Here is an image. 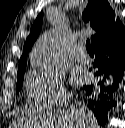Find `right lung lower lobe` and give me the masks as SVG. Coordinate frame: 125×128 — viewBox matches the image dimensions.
I'll list each match as a JSON object with an SVG mask.
<instances>
[{
	"label": "right lung lower lobe",
	"mask_w": 125,
	"mask_h": 128,
	"mask_svg": "<svg viewBox=\"0 0 125 128\" xmlns=\"http://www.w3.org/2000/svg\"><path fill=\"white\" fill-rule=\"evenodd\" d=\"M92 46L95 49L92 72L99 80L97 88H100V101L95 103L93 100L95 86H84L83 88L86 90L87 95L92 96V99L88 101L89 108L93 111L98 123L105 125L108 110L116 105L115 100L109 103H106L105 100L113 95L125 70V28L122 23L120 22L97 39ZM110 77L113 79V84L105 86L106 79Z\"/></svg>",
	"instance_id": "1"
}]
</instances>
